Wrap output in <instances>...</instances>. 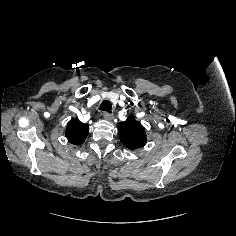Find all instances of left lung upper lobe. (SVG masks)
Returning <instances> with one entry per match:
<instances>
[{"label": "left lung upper lobe", "instance_id": "left-lung-upper-lobe-1", "mask_svg": "<svg viewBox=\"0 0 236 236\" xmlns=\"http://www.w3.org/2000/svg\"><path fill=\"white\" fill-rule=\"evenodd\" d=\"M119 137L122 144L130 150L143 147L146 144V133L140 122L134 117L118 124Z\"/></svg>", "mask_w": 236, "mask_h": 236}]
</instances>
